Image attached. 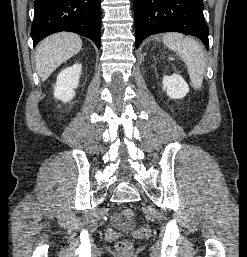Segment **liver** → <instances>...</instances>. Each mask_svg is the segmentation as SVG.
Masks as SVG:
<instances>
[{"label": "liver", "instance_id": "obj_1", "mask_svg": "<svg viewBox=\"0 0 247 257\" xmlns=\"http://www.w3.org/2000/svg\"><path fill=\"white\" fill-rule=\"evenodd\" d=\"M82 47L81 38L69 32L50 35L36 49V70L45 81L62 63L76 55Z\"/></svg>", "mask_w": 247, "mask_h": 257}]
</instances>
